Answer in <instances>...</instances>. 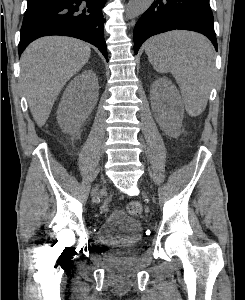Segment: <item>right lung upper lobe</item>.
Here are the masks:
<instances>
[{
  "label": "right lung upper lobe",
  "instance_id": "obj_1",
  "mask_svg": "<svg viewBox=\"0 0 245 300\" xmlns=\"http://www.w3.org/2000/svg\"><path fill=\"white\" fill-rule=\"evenodd\" d=\"M40 1H43V0H28V2H33V3L40 2Z\"/></svg>",
  "mask_w": 245,
  "mask_h": 300
}]
</instances>
